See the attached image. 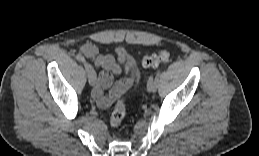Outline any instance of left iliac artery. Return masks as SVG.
I'll use <instances>...</instances> for the list:
<instances>
[{
    "instance_id": "1",
    "label": "left iliac artery",
    "mask_w": 259,
    "mask_h": 156,
    "mask_svg": "<svg viewBox=\"0 0 259 156\" xmlns=\"http://www.w3.org/2000/svg\"><path fill=\"white\" fill-rule=\"evenodd\" d=\"M160 75V70L156 73V77L154 78L155 80V84H154V89H157L158 88V83H159V80L157 79V77Z\"/></svg>"
}]
</instances>
